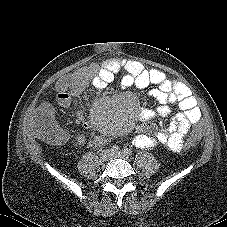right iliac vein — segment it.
Wrapping results in <instances>:
<instances>
[{
  "instance_id": "1",
  "label": "right iliac vein",
  "mask_w": 227,
  "mask_h": 227,
  "mask_svg": "<svg viewBox=\"0 0 227 227\" xmlns=\"http://www.w3.org/2000/svg\"><path fill=\"white\" fill-rule=\"evenodd\" d=\"M110 156H111V153H110V151L107 150V149H106V150H102V151L100 152V155H99L100 160L103 161V162L108 161L109 158H110Z\"/></svg>"
}]
</instances>
